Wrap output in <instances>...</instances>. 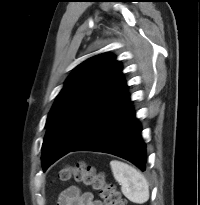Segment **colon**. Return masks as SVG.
I'll list each match as a JSON object with an SVG mask.
<instances>
[{
  "mask_svg": "<svg viewBox=\"0 0 200 205\" xmlns=\"http://www.w3.org/2000/svg\"><path fill=\"white\" fill-rule=\"evenodd\" d=\"M58 179L61 181L74 180L92 188L99 193L104 205H127L116 186L106 181L105 174L84 161L73 166H64L58 173Z\"/></svg>",
  "mask_w": 200,
  "mask_h": 205,
  "instance_id": "colon-1",
  "label": "colon"
}]
</instances>
